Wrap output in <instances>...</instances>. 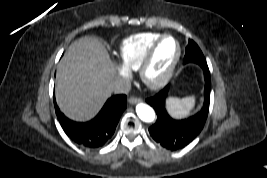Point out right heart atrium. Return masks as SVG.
<instances>
[{
  "label": "right heart atrium",
  "mask_w": 267,
  "mask_h": 178,
  "mask_svg": "<svg viewBox=\"0 0 267 178\" xmlns=\"http://www.w3.org/2000/svg\"><path fill=\"white\" fill-rule=\"evenodd\" d=\"M119 75L124 82H128L131 79V72L126 67L120 68Z\"/></svg>",
  "instance_id": "1"
}]
</instances>
